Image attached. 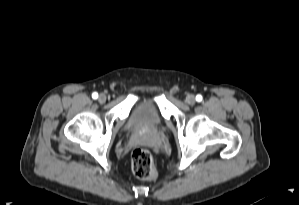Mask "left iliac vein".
<instances>
[{
	"label": "left iliac vein",
	"instance_id": "left-iliac-vein-1",
	"mask_svg": "<svg viewBox=\"0 0 299 205\" xmlns=\"http://www.w3.org/2000/svg\"><path fill=\"white\" fill-rule=\"evenodd\" d=\"M185 102L189 105H194L196 102V98L193 94H188L185 98Z\"/></svg>",
	"mask_w": 299,
	"mask_h": 205
}]
</instances>
